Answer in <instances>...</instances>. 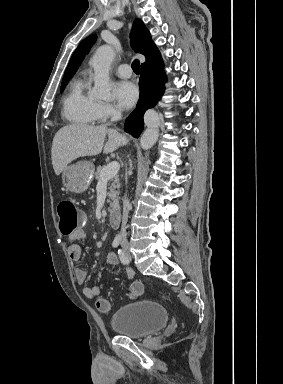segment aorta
<instances>
[{"label": "aorta", "instance_id": "762f6f07", "mask_svg": "<svg viewBox=\"0 0 283 384\" xmlns=\"http://www.w3.org/2000/svg\"><path fill=\"white\" fill-rule=\"evenodd\" d=\"M114 58V51L109 45L99 47L92 60L94 68V88L92 94L99 99L110 97L112 83L109 78V69ZM146 130L141 136L140 146L143 150L150 149L159 137L160 118L154 110L146 111L144 115Z\"/></svg>", "mask_w": 283, "mask_h": 384}]
</instances>
